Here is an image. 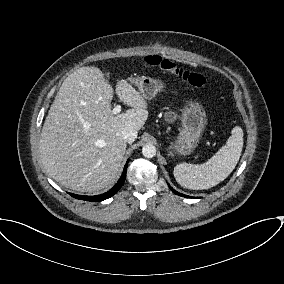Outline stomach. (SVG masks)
Wrapping results in <instances>:
<instances>
[{
  "label": "stomach",
  "instance_id": "0dacf381",
  "mask_svg": "<svg viewBox=\"0 0 284 284\" xmlns=\"http://www.w3.org/2000/svg\"><path fill=\"white\" fill-rule=\"evenodd\" d=\"M145 99H152L165 85L159 79L141 76L131 79ZM206 125V113L197 102L190 101L182 109L181 128L169 147V154L190 155L197 147Z\"/></svg>",
  "mask_w": 284,
  "mask_h": 284
}]
</instances>
